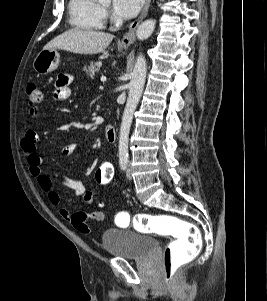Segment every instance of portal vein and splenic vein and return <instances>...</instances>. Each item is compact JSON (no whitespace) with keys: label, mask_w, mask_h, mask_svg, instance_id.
Here are the masks:
<instances>
[{"label":"portal vein and splenic vein","mask_w":267,"mask_h":301,"mask_svg":"<svg viewBox=\"0 0 267 301\" xmlns=\"http://www.w3.org/2000/svg\"><path fill=\"white\" fill-rule=\"evenodd\" d=\"M101 81L102 82H105L106 81V77L103 75V76H101Z\"/></svg>","instance_id":"obj_1"}]
</instances>
